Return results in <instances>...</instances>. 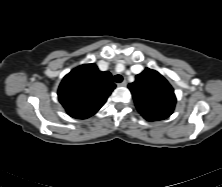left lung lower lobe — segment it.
<instances>
[{
  "mask_svg": "<svg viewBox=\"0 0 222 187\" xmlns=\"http://www.w3.org/2000/svg\"><path fill=\"white\" fill-rule=\"evenodd\" d=\"M141 115L148 121H157V120H163L167 118L160 115H151V114H141Z\"/></svg>",
  "mask_w": 222,
  "mask_h": 187,
  "instance_id": "left-lung-lower-lobe-1",
  "label": "left lung lower lobe"
}]
</instances>
